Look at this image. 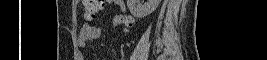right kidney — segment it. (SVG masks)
Returning a JSON list of instances; mask_svg holds the SVG:
<instances>
[{
  "label": "right kidney",
  "mask_w": 267,
  "mask_h": 60,
  "mask_svg": "<svg viewBox=\"0 0 267 60\" xmlns=\"http://www.w3.org/2000/svg\"><path fill=\"white\" fill-rule=\"evenodd\" d=\"M141 0H127V6L130 13L136 18L146 17L155 11L160 0H147L146 3L141 4ZM142 2H144L142 0Z\"/></svg>",
  "instance_id": "right-kidney-1"
}]
</instances>
